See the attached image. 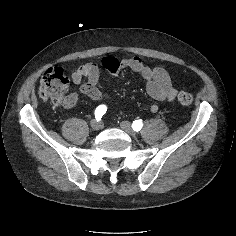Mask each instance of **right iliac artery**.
<instances>
[{"label":"right iliac artery","mask_w":236,"mask_h":236,"mask_svg":"<svg viewBox=\"0 0 236 236\" xmlns=\"http://www.w3.org/2000/svg\"><path fill=\"white\" fill-rule=\"evenodd\" d=\"M106 111H107V107L105 105H100L96 108L95 118L97 119V121L102 118V116L106 113Z\"/></svg>","instance_id":"right-iliac-artery-1"}]
</instances>
